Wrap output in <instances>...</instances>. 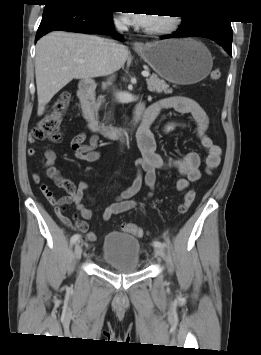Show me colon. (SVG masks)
Masks as SVG:
<instances>
[{
	"label": "colon",
	"instance_id": "5ec220e1",
	"mask_svg": "<svg viewBox=\"0 0 261 355\" xmlns=\"http://www.w3.org/2000/svg\"><path fill=\"white\" fill-rule=\"evenodd\" d=\"M210 78L213 81H217L221 78V71L215 69L211 72ZM70 102V93L64 91L60 94L58 100L53 106V110L50 114L43 117L36 127L32 130V137L35 139L43 140L47 139L52 142H59L62 139L61 132L59 130L63 117L67 111ZM45 194L49 196L48 191ZM195 192L193 190L188 191L182 203L179 206V212L185 214L192 206L195 200ZM121 228L124 232L141 237L143 235L142 228L134 223H123Z\"/></svg>",
	"mask_w": 261,
	"mask_h": 355
}]
</instances>
